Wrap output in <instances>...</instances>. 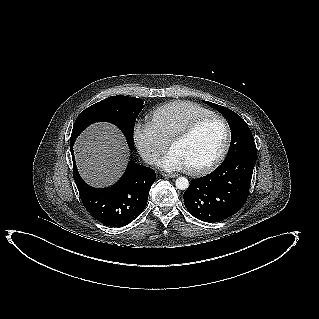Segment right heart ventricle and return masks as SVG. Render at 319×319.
Returning a JSON list of instances; mask_svg holds the SVG:
<instances>
[{"label": "right heart ventricle", "instance_id": "right-heart-ventricle-1", "mask_svg": "<svg viewBox=\"0 0 319 319\" xmlns=\"http://www.w3.org/2000/svg\"><path fill=\"white\" fill-rule=\"evenodd\" d=\"M208 114H213V112L200 104L176 100L155 108L151 111L149 119L155 129L169 142L192 120Z\"/></svg>", "mask_w": 319, "mask_h": 319}]
</instances>
